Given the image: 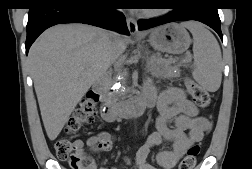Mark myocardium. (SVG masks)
Masks as SVG:
<instances>
[{
  "label": "myocardium",
  "mask_w": 252,
  "mask_h": 169,
  "mask_svg": "<svg viewBox=\"0 0 252 169\" xmlns=\"http://www.w3.org/2000/svg\"><path fill=\"white\" fill-rule=\"evenodd\" d=\"M141 15H143V16H145V17H149V16L154 15V12H151V11H149V10H143V11L141 12Z\"/></svg>",
  "instance_id": "obj_1"
}]
</instances>
